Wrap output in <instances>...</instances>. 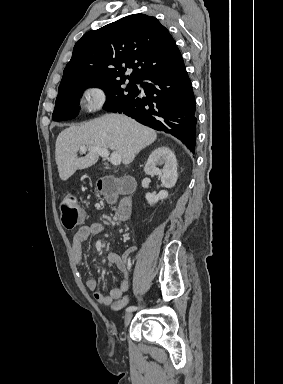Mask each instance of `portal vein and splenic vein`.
Listing matches in <instances>:
<instances>
[{
  "instance_id": "18ae733b",
  "label": "portal vein and splenic vein",
  "mask_w": 283,
  "mask_h": 384,
  "mask_svg": "<svg viewBox=\"0 0 283 384\" xmlns=\"http://www.w3.org/2000/svg\"><path fill=\"white\" fill-rule=\"evenodd\" d=\"M87 150L88 152H96L101 158H108V156H110L106 148H98V146H90V148H86V146H80V152H87ZM109 162L114 164V166H119V164H121V158L118 152H113V154H111Z\"/></svg>"
}]
</instances>
